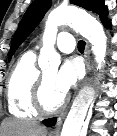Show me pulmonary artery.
<instances>
[{
	"label": "pulmonary artery",
	"instance_id": "pulmonary-artery-1",
	"mask_svg": "<svg viewBox=\"0 0 117 136\" xmlns=\"http://www.w3.org/2000/svg\"><path fill=\"white\" fill-rule=\"evenodd\" d=\"M57 48L63 53H71L75 49V40L68 31H61L56 40ZM39 48V45L36 46Z\"/></svg>",
	"mask_w": 117,
	"mask_h": 136
}]
</instances>
